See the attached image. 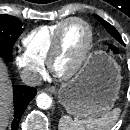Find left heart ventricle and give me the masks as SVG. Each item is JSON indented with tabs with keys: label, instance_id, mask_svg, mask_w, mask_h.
Segmentation results:
<instances>
[{
	"label": "left heart ventricle",
	"instance_id": "1",
	"mask_svg": "<svg viewBox=\"0 0 130 130\" xmlns=\"http://www.w3.org/2000/svg\"><path fill=\"white\" fill-rule=\"evenodd\" d=\"M87 39V30L81 23L68 24L62 35V48L55 61V69L59 72L71 69L83 53Z\"/></svg>",
	"mask_w": 130,
	"mask_h": 130
}]
</instances>
